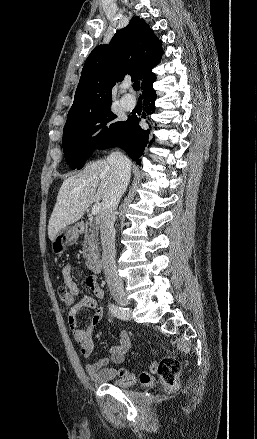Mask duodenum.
Listing matches in <instances>:
<instances>
[{
	"instance_id": "duodenum-1",
	"label": "duodenum",
	"mask_w": 257,
	"mask_h": 439,
	"mask_svg": "<svg viewBox=\"0 0 257 439\" xmlns=\"http://www.w3.org/2000/svg\"><path fill=\"white\" fill-rule=\"evenodd\" d=\"M91 270L94 274H99L101 271V263L99 260H93L90 262Z\"/></svg>"
}]
</instances>
